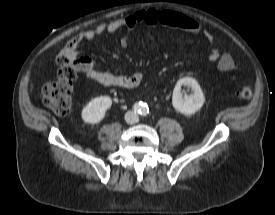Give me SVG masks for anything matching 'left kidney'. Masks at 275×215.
<instances>
[{
	"instance_id": "left-kidney-1",
	"label": "left kidney",
	"mask_w": 275,
	"mask_h": 215,
	"mask_svg": "<svg viewBox=\"0 0 275 215\" xmlns=\"http://www.w3.org/2000/svg\"><path fill=\"white\" fill-rule=\"evenodd\" d=\"M182 86H188L193 90L192 95H183ZM205 102L204 94L198 82L192 77H184L177 81L173 90V107L184 115H191L197 112Z\"/></svg>"
}]
</instances>
